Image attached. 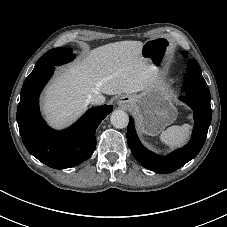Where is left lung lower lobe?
Returning <instances> with one entry per match:
<instances>
[{
	"label": "left lung lower lobe",
	"instance_id": "0a47b994",
	"mask_svg": "<svg viewBox=\"0 0 227 227\" xmlns=\"http://www.w3.org/2000/svg\"><path fill=\"white\" fill-rule=\"evenodd\" d=\"M180 100L194 110L195 126L189 143L167 156L156 155L143 147L135 132L133 119H129L128 146L138 162L149 170L171 173L196 157L204 145L212 117L210 100L191 95L181 96Z\"/></svg>",
	"mask_w": 227,
	"mask_h": 227
}]
</instances>
